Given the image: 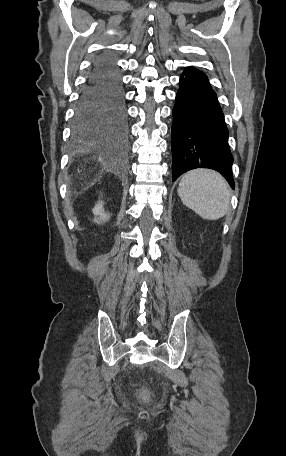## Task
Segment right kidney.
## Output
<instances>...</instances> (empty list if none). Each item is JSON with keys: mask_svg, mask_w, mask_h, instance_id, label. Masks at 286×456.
<instances>
[{"mask_svg": "<svg viewBox=\"0 0 286 456\" xmlns=\"http://www.w3.org/2000/svg\"><path fill=\"white\" fill-rule=\"evenodd\" d=\"M93 214L95 217L99 216L98 218H94V222L97 224H101L102 222H106L109 220L110 216L109 214L105 213L104 208H103V202L99 201L95 207L93 208Z\"/></svg>", "mask_w": 286, "mask_h": 456, "instance_id": "ca27d5eb", "label": "right kidney"}]
</instances>
